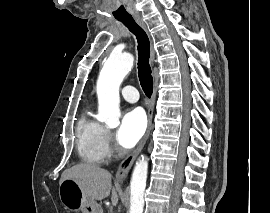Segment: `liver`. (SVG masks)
<instances>
[{"label":"liver","instance_id":"6515ba94","mask_svg":"<svg viewBox=\"0 0 270 213\" xmlns=\"http://www.w3.org/2000/svg\"><path fill=\"white\" fill-rule=\"evenodd\" d=\"M73 179L80 186L83 194L94 201H101L111 195L114 206L118 203V194L115 187L112 188L111 174L107 170L91 163H80L66 169L60 179V183L66 179Z\"/></svg>","mask_w":270,"mask_h":213}]
</instances>
